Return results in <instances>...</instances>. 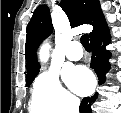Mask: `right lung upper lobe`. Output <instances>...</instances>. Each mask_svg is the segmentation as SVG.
Returning <instances> with one entry per match:
<instances>
[{"mask_svg":"<svg viewBox=\"0 0 121 113\" xmlns=\"http://www.w3.org/2000/svg\"><path fill=\"white\" fill-rule=\"evenodd\" d=\"M61 8L66 13L71 27L83 24L93 26L90 39L107 27L98 0H61ZM53 31L50 12L47 5H40L33 13L27 27L25 57L27 75L39 71L36 50L43 39Z\"/></svg>","mask_w":121,"mask_h":113,"instance_id":"cb5924a9","label":"right lung upper lobe"}]
</instances>
